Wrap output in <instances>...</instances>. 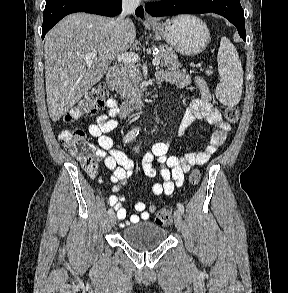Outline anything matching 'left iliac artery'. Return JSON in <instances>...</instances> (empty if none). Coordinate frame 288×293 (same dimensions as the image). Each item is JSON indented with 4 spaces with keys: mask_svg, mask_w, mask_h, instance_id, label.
<instances>
[{
    "mask_svg": "<svg viewBox=\"0 0 288 293\" xmlns=\"http://www.w3.org/2000/svg\"><path fill=\"white\" fill-rule=\"evenodd\" d=\"M177 208L181 213H184V206L182 203H177Z\"/></svg>",
    "mask_w": 288,
    "mask_h": 293,
    "instance_id": "left-iliac-artery-1",
    "label": "left iliac artery"
}]
</instances>
